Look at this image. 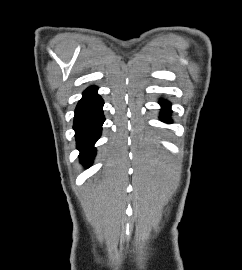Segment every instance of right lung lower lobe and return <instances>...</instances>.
<instances>
[{"mask_svg":"<svg viewBox=\"0 0 242 270\" xmlns=\"http://www.w3.org/2000/svg\"><path fill=\"white\" fill-rule=\"evenodd\" d=\"M103 100L97 94V87H89L75 110L74 130L77 148L81 151L80 160L86 167L93 161L96 149L93 147L98 140L105 120L103 116Z\"/></svg>","mask_w":242,"mask_h":270,"instance_id":"98d812e1","label":"right lung lower lobe"}]
</instances>
